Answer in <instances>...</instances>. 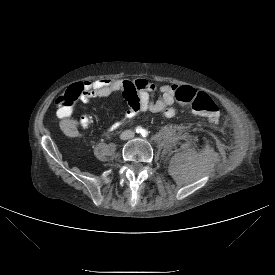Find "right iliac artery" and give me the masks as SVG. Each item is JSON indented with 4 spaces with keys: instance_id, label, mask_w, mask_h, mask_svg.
<instances>
[{
    "instance_id": "1",
    "label": "right iliac artery",
    "mask_w": 275,
    "mask_h": 275,
    "mask_svg": "<svg viewBox=\"0 0 275 275\" xmlns=\"http://www.w3.org/2000/svg\"><path fill=\"white\" fill-rule=\"evenodd\" d=\"M135 130H136L137 133H141L142 134V132H143V129L140 126L136 127Z\"/></svg>"
}]
</instances>
